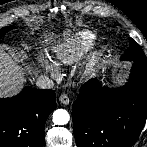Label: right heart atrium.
Returning a JSON list of instances; mask_svg holds the SVG:
<instances>
[{
  "label": "right heart atrium",
  "instance_id": "1",
  "mask_svg": "<svg viewBox=\"0 0 147 147\" xmlns=\"http://www.w3.org/2000/svg\"><path fill=\"white\" fill-rule=\"evenodd\" d=\"M41 65L52 77L57 78L60 76V67L57 63L49 59H42Z\"/></svg>",
  "mask_w": 147,
  "mask_h": 147
}]
</instances>
